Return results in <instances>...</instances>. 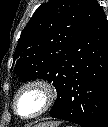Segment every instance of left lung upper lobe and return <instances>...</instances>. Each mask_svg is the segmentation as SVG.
Instances as JSON below:
<instances>
[{
  "mask_svg": "<svg viewBox=\"0 0 108 127\" xmlns=\"http://www.w3.org/2000/svg\"><path fill=\"white\" fill-rule=\"evenodd\" d=\"M89 0H50L42 4L21 33L13 71L24 82L42 78L59 89L64 62L76 40Z\"/></svg>",
  "mask_w": 108,
  "mask_h": 127,
  "instance_id": "5c2ea615",
  "label": "left lung upper lobe"
}]
</instances>
